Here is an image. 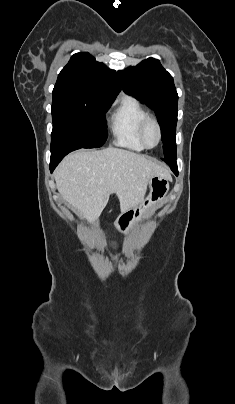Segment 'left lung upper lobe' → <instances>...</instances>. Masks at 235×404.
<instances>
[{
    "label": "left lung upper lobe",
    "instance_id": "1",
    "mask_svg": "<svg viewBox=\"0 0 235 404\" xmlns=\"http://www.w3.org/2000/svg\"><path fill=\"white\" fill-rule=\"evenodd\" d=\"M118 75L125 93L155 111L162 134V160L176 161L178 94L172 76L161 66L159 60L153 58L119 71Z\"/></svg>",
    "mask_w": 235,
    "mask_h": 404
}]
</instances>
